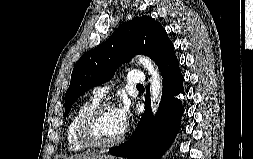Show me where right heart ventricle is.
I'll return each mask as SVG.
<instances>
[{
	"label": "right heart ventricle",
	"instance_id": "1",
	"mask_svg": "<svg viewBox=\"0 0 253 159\" xmlns=\"http://www.w3.org/2000/svg\"><path fill=\"white\" fill-rule=\"evenodd\" d=\"M101 102V98L91 95L83 101L72 114L66 129L67 146L70 151H82L87 147L79 139V127L88 111Z\"/></svg>",
	"mask_w": 253,
	"mask_h": 159
}]
</instances>
